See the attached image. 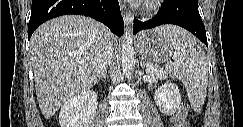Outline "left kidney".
<instances>
[{"mask_svg":"<svg viewBox=\"0 0 243 127\" xmlns=\"http://www.w3.org/2000/svg\"><path fill=\"white\" fill-rule=\"evenodd\" d=\"M154 100L157 107L165 115H172L181 104V95L177 85L165 83L154 93Z\"/></svg>","mask_w":243,"mask_h":127,"instance_id":"obj_1","label":"left kidney"}]
</instances>
